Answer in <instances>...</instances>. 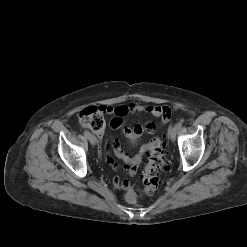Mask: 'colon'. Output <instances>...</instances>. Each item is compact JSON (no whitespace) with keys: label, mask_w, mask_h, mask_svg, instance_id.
Here are the masks:
<instances>
[{"label":"colon","mask_w":247,"mask_h":247,"mask_svg":"<svg viewBox=\"0 0 247 247\" xmlns=\"http://www.w3.org/2000/svg\"><path fill=\"white\" fill-rule=\"evenodd\" d=\"M104 115V107L90 106L79 113V121L84 127L96 133H102L106 125ZM165 168L163 144L157 139L149 148L148 160L143 171V191L145 194L151 195L157 190L161 181L160 172ZM140 195L141 193L138 190L129 189L125 193V199L130 203H134Z\"/></svg>","instance_id":"5ec220e1"}]
</instances>
